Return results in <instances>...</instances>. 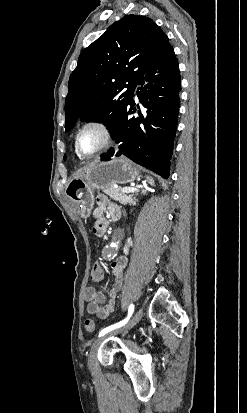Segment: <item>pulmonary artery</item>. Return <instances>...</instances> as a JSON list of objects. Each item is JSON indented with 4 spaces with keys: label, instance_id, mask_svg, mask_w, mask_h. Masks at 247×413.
<instances>
[{
    "label": "pulmonary artery",
    "instance_id": "e3ab8cb5",
    "mask_svg": "<svg viewBox=\"0 0 247 413\" xmlns=\"http://www.w3.org/2000/svg\"><path fill=\"white\" fill-rule=\"evenodd\" d=\"M134 95H135V93H134ZM135 99H137L136 95H135Z\"/></svg>",
    "mask_w": 247,
    "mask_h": 413
}]
</instances>
